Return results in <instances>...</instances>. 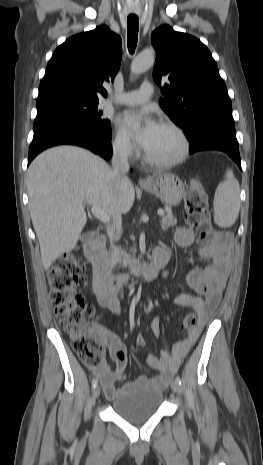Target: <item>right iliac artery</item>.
I'll return each mask as SVG.
<instances>
[{
  "label": "right iliac artery",
  "instance_id": "obj_1",
  "mask_svg": "<svg viewBox=\"0 0 263 465\" xmlns=\"http://www.w3.org/2000/svg\"><path fill=\"white\" fill-rule=\"evenodd\" d=\"M98 384V380L97 379H93L92 381V388H95Z\"/></svg>",
  "mask_w": 263,
  "mask_h": 465
}]
</instances>
